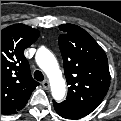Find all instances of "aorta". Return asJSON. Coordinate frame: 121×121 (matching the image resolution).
Segmentation results:
<instances>
[{
    "instance_id": "aorta-1",
    "label": "aorta",
    "mask_w": 121,
    "mask_h": 121,
    "mask_svg": "<svg viewBox=\"0 0 121 121\" xmlns=\"http://www.w3.org/2000/svg\"><path fill=\"white\" fill-rule=\"evenodd\" d=\"M35 61L50 79L53 99L61 102L65 98L66 87L54 55L49 49L41 47L36 51Z\"/></svg>"
}]
</instances>
